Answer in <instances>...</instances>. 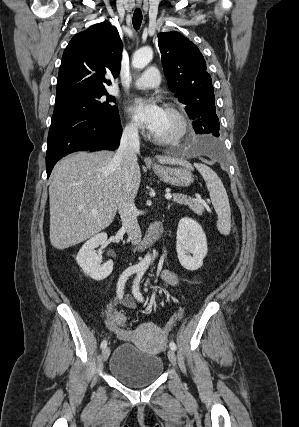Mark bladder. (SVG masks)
Returning <instances> with one entry per match:
<instances>
[{"label": "bladder", "mask_w": 299, "mask_h": 427, "mask_svg": "<svg viewBox=\"0 0 299 427\" xmlns=\"http://www.w3.org/2000/svg\"><path fill=\"white\" fill-rule=\"evenodd\" d=\"M111 375L131 388H141L154 383L163 373L160 356L140 350L129 342L115 349L109 364Z\"/></svg>", "instance_id": "1"}]
</instances>
